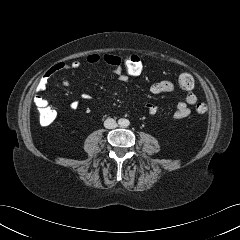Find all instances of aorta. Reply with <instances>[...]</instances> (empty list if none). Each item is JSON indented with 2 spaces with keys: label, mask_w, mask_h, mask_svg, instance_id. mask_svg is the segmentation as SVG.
<instances>
[{
  "label": "aorta",
  "mask_w": 240,
  "mask_h": 240,
  "mask_svg": "<svg viewBox=\"0 0 240 240\" xmlns=\"http://www.w3.org/2000/svg\"><path fill=\"white\" fill-rule=\"evenodd\" d=\"M127 123H128V120H126V119H122V120H121V125H122V126H126Z\"/></svg>",
  "instance_id": "aorta-1"
}]
</instances>
